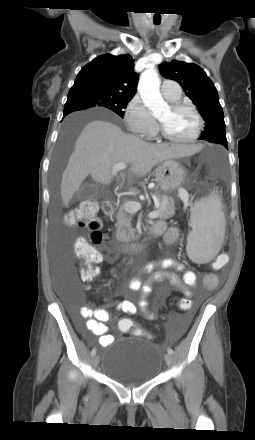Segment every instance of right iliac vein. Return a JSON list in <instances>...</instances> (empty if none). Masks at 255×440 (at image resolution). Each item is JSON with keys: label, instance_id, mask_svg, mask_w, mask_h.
I'll return each instance as SVG.
<instances>
[{"label": "right iliac vein", "instance_id": "1", "mask_svg": "<svg viewBox=\"0 0 255 440\" xmlns=\"http://www.w3.org/2000/svg\"><path fill=\"white\" fill-rule=\"evenodd\" d=\"M91 363H92L93 367H96L98 365V363H99V357L97 355H94L92 357Z\"/></svg>", "mask_w": 255, "mask_h": 440}]
</instances>
